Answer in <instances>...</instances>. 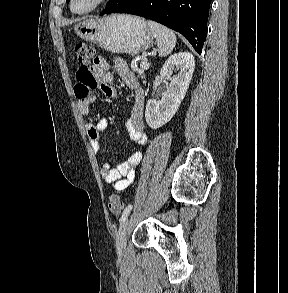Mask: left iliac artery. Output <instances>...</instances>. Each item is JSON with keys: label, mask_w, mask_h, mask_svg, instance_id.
<instances>
[{"label": "left iliac artery", "mask_w": 288, "mask_h": 293, "mask_svg": "<svg viewBox=\"0 0 288 293\" xmlns=\"http://www.w3.org/2000/svg\"><path fill=\"white\" fill-rule=\"evenodd\" d=\"M131 209H132V205L129 204V205L125 208V210L123 211V214H122V216H121V218H120V223H123V222L126 220V218H127V216L129 215Z\"/></svg>", "instance_id": "1"}]
</instances>
